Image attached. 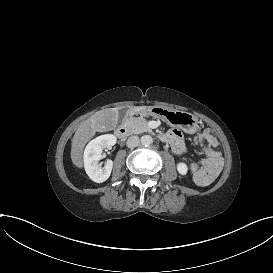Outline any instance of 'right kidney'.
Returning a JSON list of instances; mask_svg holds the SVG:
<instances>
[{"mask_svg":"<svg viewBox=\"0 0 273 273\" xmlns=\"http://www.w3.org/2000/svg\"><path fill=\"white\" fill-rule=\"evenodd\" d=\"M116 140L114 135L105 134L93 139L86 146L84 168L87 175L94 182L102 183L109 178L113 168V161L108 159L103 168L98 166V162L102 159L103 148L115 145Z\"/></svg>","mask_w":273,"mask_h":273,"instance_id":"obj_1","label":"right kidney"}]
</instances>
